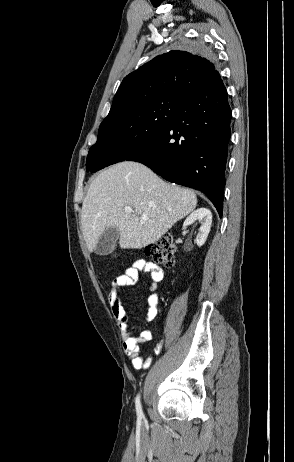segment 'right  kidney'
Masks as SVG:
<instances>
[{
	"mask_svg": "<svg viewBox=\"0 0 294 462\" xmlns=\"http://www.w3.org/2000/svg\"><path fill=\"white\" fill-rule=\"evenodd\" d=\"M195 221L200 223L199 232L196 236V243L199 247L206 242L212 224V213L207 208H199L192 212L184 221L183 227L193 224Z\"/></svg>",
	"mask_w": 294,
	"mask_h": 462,
	"instance_id": "1",
	"label": "right kidney"
}]
</instances>
